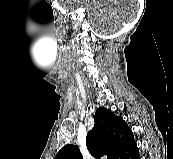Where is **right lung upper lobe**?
Instances as JSON below:
<instances>
[{
    "label": "right lung upper lobe",
    "mask_w": 173,
    "mask_h": 159,
    "mask_svg": "<svg viewBox=\"0 0 173 159\" xmlns=\"http://www.w3.org/2000/svg\"><path fill=\"white\" fill-rule=\"evenodd\" d=\"M94 127L86 137V145L94 157L107 155L108 159H126L137 150L131 129L122 117L100 107L94 116ZM55 159H82L78 146L67 144L55 156Z\"/></svg>",
    "instance_id": "1"
}]
</instances>
